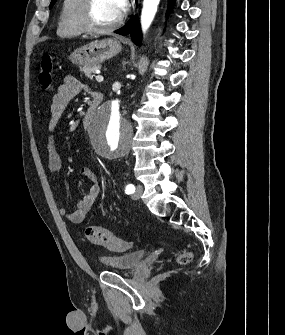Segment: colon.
Listing matches in <instances>:
<instances>
[{
	"label": "colon",
	"mask_w": 285,
	"mask_h": 335,
	"mask_svg": "<svg viewBox=\"0 0 285 335\" xmlns=\"http://www.w3.org/2000/svg\"><path fill=\"white\" fill-rule=\"evenodd\" d=\"M53 65L54 57L51 54H44L41 58L38 72L39 85L43 91H49L52 87ZM85 236L90 242L106 247L114 252H126L132 246L130 242L116 237L109 230L101 226H88L85 229ZM192 258L193 253L191 251H184L176 256V261L179 264H186Z\"/></svg>",
	"instance_id": "5ec220e1"
}]
</instances>
